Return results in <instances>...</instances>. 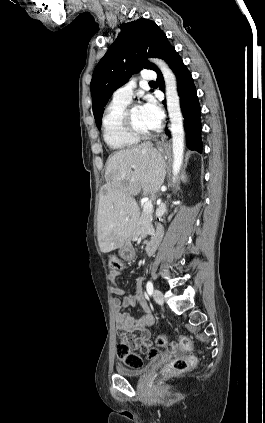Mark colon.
I'll list each match as a JSON object with an SVG mask.
<instances>
[{
    "label": "colon",
    "mask_w": 265,
    "mask_h": 423,
    "mask_svg": "<svg viewBox=\"0 0 265 423\" xmlns=\"http://www.w3.org/2000/svg\"><path fill=\"white\" fill-rule=\"evenodd\" d=\"M109 267L112 271L119 272L123 269V263L121 259L115 255L109 258ZM169 335L160 334L156 338V344L147 351V358L153 359L158 356L160 349L169 345ZM177 346L185 351H191L192 344L190 339L185 335H180L178 338ZM176 346H172L174 349ZM116 354L118 359L127 367L131 369L141 368L144 364V358L131 351L129 345L126 342V338L123 337L118 343L116 348ZM196 363V357L193 355H185L175 358L163 371L164 374L180 373L185 372Z\"/></svg>",
    "instance_id": "colon-1"
}]
</instances>
